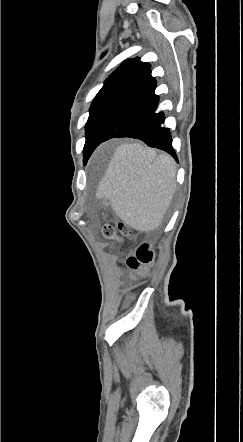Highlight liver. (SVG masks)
Returning <instances> with one entry per match:
<instances>
[{"instance_id": "obj_1", "label": "liver", "mask_w": 243, "mask_h": 442, "mask_svg": "<svg viewBox=\"0 0 243 442\" xmlns=\"http://www.w3.org/2000/svg\"><path fill=\"white\" fill-rule=\"evenodd\" d=\"M176 189V165L167 154L141 143L119 145L97 189L126 224L141 232L157 229Z\"/></svg>"}]
</instances>
